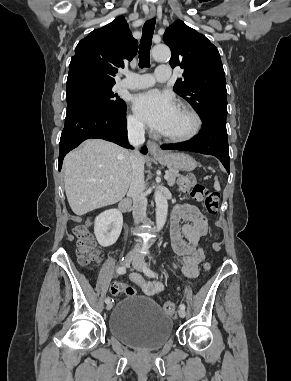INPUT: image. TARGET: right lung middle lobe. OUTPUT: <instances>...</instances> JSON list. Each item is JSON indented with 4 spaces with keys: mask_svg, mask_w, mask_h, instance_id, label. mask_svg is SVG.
Listing matches in <instances>:
<instances>
[{
    "mask_svg": "<svg viewBox=\"0 0 291 381\" xmlns=\"http://www.w3.org/2000/svg\"><path fill=\"white\" fill-rule=\"evenodd\" d=\"M114 83H102L83 77L67 79L66 94L78 92L97 102L104 111H119L126 105L112 92Z\"/></svg>",
    "mask_w": 291,
    "mask_h": 381,
    "instance_id": "obj_1",
    "label": "right lung middle lobe"
}]
</instances>
